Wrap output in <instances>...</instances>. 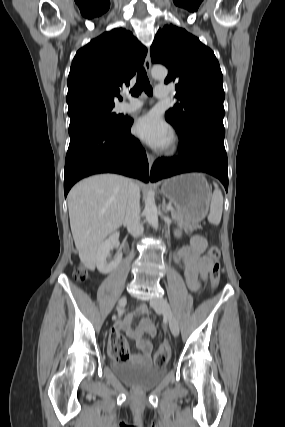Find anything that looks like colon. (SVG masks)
Masks as SVG:
<instances>
[{
	"label": "colon",
	"mask_w": 285,
	"mask_h": 427,
	"mask_svg": "<svg viewBox=\"0 0 285 427\" xmlns=\"http://www.w3.org/2000/svg\"><path fill=\"white\" fill-rule=\"evenodd\" d=\"M209 258L211 259L210 267V282L213 288L219 285L221 278V264H220V249L218 246L213 245L208 251ZM75 279L77 281H84L87 279V271L83 267H79L75 272ZM110 354L118 362L124 363L129 358V348L125 339L121 336L110 337ZM170 356V349L167 345H161L153 356V362L156 366H165Z\"/></svg>",
	"instance_id": "obj_1"
}]
</instances>
